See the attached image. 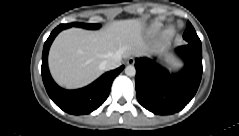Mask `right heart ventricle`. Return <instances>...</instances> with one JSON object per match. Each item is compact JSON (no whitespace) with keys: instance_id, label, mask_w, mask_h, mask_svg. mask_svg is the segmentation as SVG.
<instances>
[{"instance_id":"obj_1","label":"right heart ventricle","mask_w":239,"mask_h":136,"mask_svg":"<svg viewBox=\"0 0 239 136\" xmlns=\"http://www.w3.org/2000/svg\"><path fill=\"white\" fill-rule=\"evenodd\" d=\"M161 29H162L161 24L155 23V24L153 25V30H154V31L158 32V31H160Z\"/></svg>"}]
</instances>
